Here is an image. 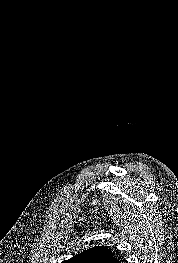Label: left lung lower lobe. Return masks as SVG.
<instances>
[{"label":"left lung lower lobe","mask_w":178,"mask_h":263,"mask_svg":"<svg viewBox=\"0 0 178 263\" xmlns=\"http://www.w3.org/2000/svg\"><path fill=\"white\" fill-rule=\"evenodd\" d=\"M111 263H121V261H119L117 258H115L114 260L111 261Z\"/></svg>","instance_id":"0a47b994"}]
</instances>
